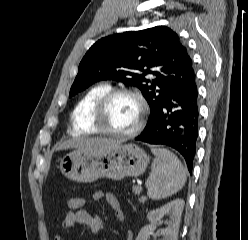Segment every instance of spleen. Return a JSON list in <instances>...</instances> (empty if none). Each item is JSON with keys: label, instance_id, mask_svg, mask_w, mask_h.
Segmentation results:
<instances>
[{"label": "spleen", "instance_id": "1", "mask_svg": "<svg viewBox=\"0 0 248 240\" xmlns=\"http://www.w3.org/2000/svg\"><path fill=\"white\" fill-rule=\"evenodd\" d=\"M155 159L146 181L147 195L153 200L169 197L180 191L186 182V172L178 157L165 148L152 147Z\"/></svg>", "mask_w": 248, "mask_h": 240}]
</instances>
